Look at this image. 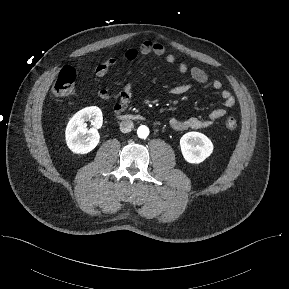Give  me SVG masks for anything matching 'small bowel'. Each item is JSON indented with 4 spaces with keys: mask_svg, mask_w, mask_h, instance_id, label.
Instances as JSON below:
<instances>
[{
    "mask_svg": "<svg viewBox=\"0 0 289 289\" xmlns=\"http://www.w3.org/2000/svg\"><path fill=\"white\" fill-rule=\"evenodd\" d=\"M163 56L166 63L173 64L176 60L175 56L170 53H166L165 47L156 41L147 40L144 41L139 47H131L124 51L123 58L126 61H133L138 56L147 55ZM116 64V59L110 57L104 62L100 63L94 72V77L91 79L89 91L95 92L101 99L107 101H115L114 111L121 112L124 110L131 100V89L126 85L121 91L116 93H110L105 88H99L95 86L98 79L103 78L108 74L110 69ZM178 70L181 74H189L192 82H186L176 85L170 89V94L179 96L189 92L193 86V83L199 85H205L209 83V77L207 73L197 66H189L184 62L178 64ZM210 86L220 93L226 108H231L235 105L236 101L230 91L223 89L222 82L220 80H213L210 82ZM227 113L225 108H218L211 111L205 117H173L169 121V125L172 129L177 131H184L188 129H203L212 126L218 119L224 117Z\"/></svg>",
    "mask_w": 289,
    "mask_h": 289,
    "instance_id": "1",
    "label": "small bowel"
}]
</instances>
